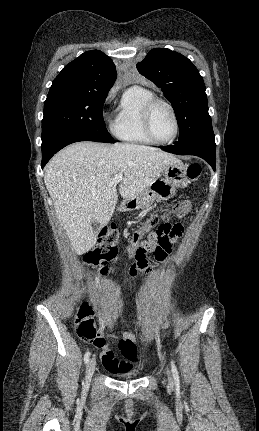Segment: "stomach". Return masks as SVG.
Instances as JSON below:
<instances>
[{"mask_svg": "<svg viewBox=\"0 0 259 431\" xmlns=\"http://www.w3.org/2000/svg\"><path fill=\"white\" fill-rule=\"evenodd\" d=\"M187 167L181 161L167 166L162 177L155 179L136 198L127 201L122 209L135 210L148 208L153 202L167 200L173 197L177 188H184L188 184Z\"/></svg>", "mask_w": 259, "mask_h": 431, "instance_id": "0dacf381", "label": "stomach"}]
</instances>
